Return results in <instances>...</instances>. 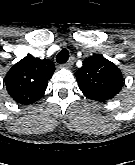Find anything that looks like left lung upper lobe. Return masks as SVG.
Returning a JSON list of instances; mask_svg holds the SVG:
<instances>
[{"label":"left lung upper lobe","mask_w":135,"mask_h":165,"mask_svg":"<svg viewBox=\"0 0 135 165\" xmlns=\"http://www.w3.org/2000/svg\"><path fill=\"white\" fill-rule=\"evenodd\" d=\"M76 79L82 93L99 102L114 98L123 85L120 69L100 54L84 60L76 72Z\"/></svg>","instance_id":"obj_1"}]
</instances>
